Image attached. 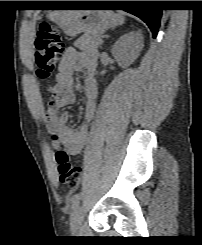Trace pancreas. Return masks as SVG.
Segmentation results:
<instances>
[{
    "label": "pancreas",
    "mask_w": 202,
    "mask_h": 245,
    "mask_svg": "<svg viewBox=\"0 0 202 245\" xmlns=\"http://www.w3.org/2000/svg\"><path fill=\"white\" fill-rule=\"evenodd\" d=\"M74 45L80 50L86 51L91 49H97L101 43L99 37L96 35L84 34L82 37L77 39Z\"/></svg>",
    "instance_id": "1"
}]
</instances>
